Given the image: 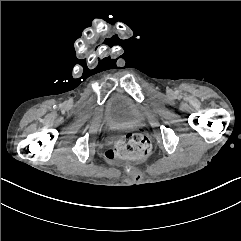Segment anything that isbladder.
<instances>
[{"mask_svg": "<svg viewBox=\"0 0 241 241\" xmlns=\"http://www.w3.org/2000/svg\"><path fill=\"white\" fill-rule=\"evenodd\" d=\"M107 116L113 124H134L140 118L137 107L123 94H118L110 100Z\"/></svg>", "mask_w": 241, "mask_h": 241, "instance_id": "1", "label": "bladder"}]
</instances>
